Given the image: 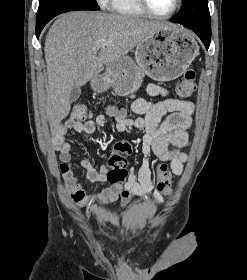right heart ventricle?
Here are the masks:
<instances>
[{
  "label": "right heart ventricle",
  "instance_id": "right-heart-ventricle-1",
  "mask_svg": "<svg viewBox=\"0 0 247 280\" xmlns=\"http://www.w3.org/2000/svg\"><path fill=\"white\" fill-rule=\"evenodd\" d=\"M109 9L120 15L125 16H144L145 12L139 6L137 0H109Z\"/></svg>",
  "mask_w": 247,
  "mask_h": 280
}]
</instances>
